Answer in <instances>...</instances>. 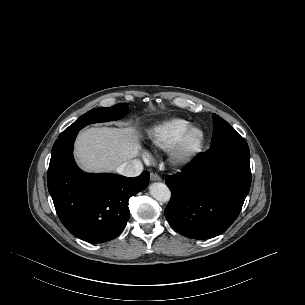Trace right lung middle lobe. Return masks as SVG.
Instances as JSON below:
<instances>
[{
  "instance_id": "right-lung-middle-lobe-1",
  "label": "right lung middle lobe",
  "mask_w": 305,
  "mask_h": 305,
  "mask_svg": "<svg viewBox=\"0 0 305 305\" xmlns=\"http://www.w3.org/2000/svg\"><path fill=\"white\" fill-rule=\"evenodd\" d=\"M128 108H129V104L121 103L108 108L101 107L90 110L86 114L81 116L79 119H77L67 129H65L61 133V135L70 134L75 130H80L84 126L91 123L117 120L125 116L129 112Z\"/></svg>"
}]
</instances>
